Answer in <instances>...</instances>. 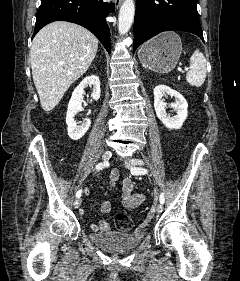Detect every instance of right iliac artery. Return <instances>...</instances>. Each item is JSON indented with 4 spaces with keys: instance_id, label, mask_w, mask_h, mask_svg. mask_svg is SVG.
<instances>
[{
    "instance_id": "right-iliac-artery-1",
    "label": "right iliac artery",
    "mask_w": 240,
    "mask_h": 281,
    "mask_svg": "<svg viewBox=\"0 0 240 281\" xmlns=\"http://www.w3.org/2000/svg\"><path fill=\"white\" fill-rule=\"evenodd\" d=\"M106 166V163H98L95 167L96 170H101ZM82 195V189H79L76 193V197L79 198Z\"/></svg>"
}]
</instances>
